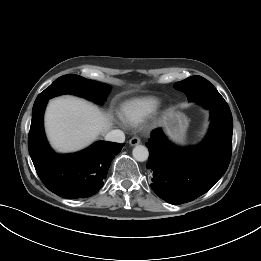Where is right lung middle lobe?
Returning a JSON list of instances; mask_svg holds the SVG:
<instances>
[{
	"label": "right lung middle lobe",
	"instance_id": "right-lung-middle-lobe-1",
	"mask_svg": "<svg viewBox=\"0 0 261 261\" xmlns=\"http://www.w3.org/2000/svg\"><path fill=\"white\" fill-rule=\"evenodd\" d=\"M110 86L88 80L78 75H65L56 79L48 88L40 93L34 106L43 100H48L61 94H74L94 102L102 101L107 95Z\"/></svg>",
	"mask_w": 261,
	"mask_h": 261
}]
</instances>
